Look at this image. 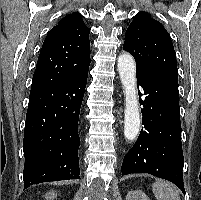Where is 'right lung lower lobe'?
<instances>
[{"mask_svg":"<svg viewBox=\"0 0 201 200\" xmlns=\"http://www.w3.org/2000/svg\"><path fill=\"white\" fill-rule=\"evenodd\" d=\"M89 65L70 80L30 92L23 139L24 189L80 178L78 121Z\"/></svg>","mask_w":201,"mask_h":200,"instance_id":"obj_1","label":"right lung lower lobe"}]
</instances>
